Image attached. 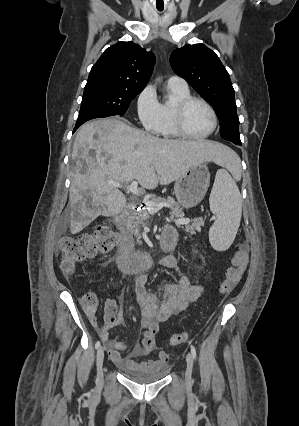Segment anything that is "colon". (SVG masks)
<instances>
[{
    "label": "colon",
    "mask_w": 299,
    "mask_h": 426,
    "mask_svg": "<svg viewBox=\"0 0 299 426\" xmlns=\"http://www.w3.org/2000/svg\"><path fill=\"white\" fill-rule=\"evenodd\" d=\"M117 232L109 225H103L92 233H85L76 238L62 237L59 240V249L62 255V269L66 274L74 272L77 265L97 254L110 252L118 243ZM248 262L247 247L240 244L233 256L232 266L226 270L225 278L221 283L220 290L223 294L230 293L240 282L244 275ZM83 307L89 315H94L98 299L88 293L83 296ZM188 341L186 333H176L170 337L172 346L181 345Z\"/></svg>",
    "instance_id": "colon-1"
}]
</instances>
